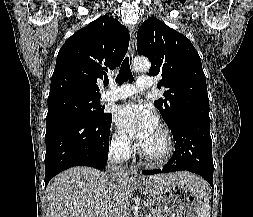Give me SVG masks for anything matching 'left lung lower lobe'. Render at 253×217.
Instances as JSON below:
<instances>
[{
  "instance_id": "obj_1",
  "label": "left lung lower lobe",
  "mask_w": 253,
  "mask_h": 217,
  "mask_svg": "<svg viewBox=\"0 0 253 217\" xmlns=\"http://www.w3.org/2000/svg\"><path fill=\"white\" fill-rule=\"evenodd\" d=\"M175 152L163 169L143 170L144 175H154L181 170L199 174L213 187L212 139L210 122L183 119L173 129Z\"/></svg>"
}]
</instances>
